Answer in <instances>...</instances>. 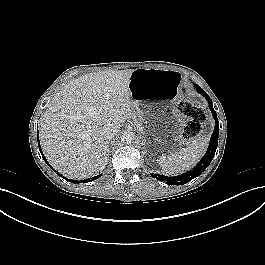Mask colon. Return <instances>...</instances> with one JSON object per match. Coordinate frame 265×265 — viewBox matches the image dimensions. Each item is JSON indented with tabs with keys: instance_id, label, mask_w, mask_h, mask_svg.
I'll use <instances>...</instances> for the list:
<instances>
[{
	"instance_id": "5ec220e1",
	"label": "colon",
	"mask_w": 265,
	"mask_h": 265,
	"mask_svg": "<svg viewBox=\"0 0 265 265\" xmlns=\"http://www.w3.org/2000/svg\"><path fill=\"white\" fill-rule=\"evenodd\" d=\"M178 111L188 118L183 131V137L187 140L197 137L200 134L202 125L206 119L205 112L186 100L179 102Z\"/></svg>"
}]
</instances>
